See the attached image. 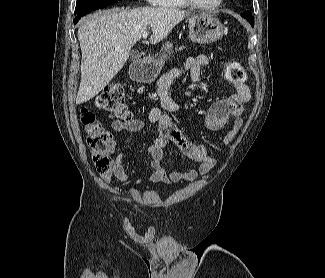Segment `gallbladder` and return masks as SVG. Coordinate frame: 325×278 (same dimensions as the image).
Listing matches in <instances>:
<instances>
[{"label":"gallbladder","instance_id":"1","mask_svg":"<svg viewBox=\"0 0 325 278\" xmlns=\"http://www.w3.org/2000/svg\"><path fill=\"white\" fill-rule=\"evenodd\" d=\"M140 57L141 53L139 51L134 50L130 53V59L133 61L139 60Z\"/></svg>","mask_w":325,"mask_h":278}]
</instances>
